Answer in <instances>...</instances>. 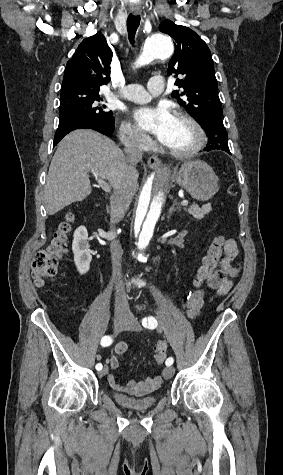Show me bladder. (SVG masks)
<instances>
[{
    "label": "bladder",
    "mask_w": 283,
    "mask_h": 475,
    "mask_svg": "<svg viewBox=\"0 0 283 475\" xmlns=\"http://www.w3.org/2000/svg\"><path fill=\"white\" fill-rule=\"evenodd\" d=\"M111 399L126 410L137 411L149 410L154 407L157 404L158 396L155 394L154 396L136 398L116 392L112 395Z\"/></svg>",
    "instance_id": "obj_1"
}]
</instances>
